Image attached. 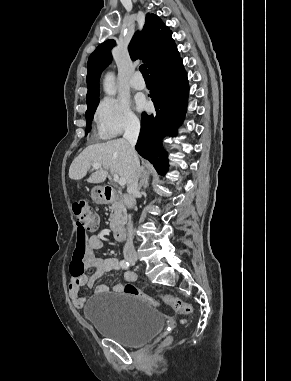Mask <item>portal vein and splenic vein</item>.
Masks as SVG:
<instances>
[{
  "instance_id": "obj_1",
  "label": "portal vein and splenic vein",
  "mask_w": 291,
  "mask_h": 381,
  "mask_svg": "<svg viewBox=\"0 0 291 381\" xmlns=\"http://www.w3.org/2000/svg\"><path fill=\"white\" fill-rule=\"evenodd\" d=\"M101 167V164L99 163H94L93 168L94 169H99ZM114 181L117 182L120 186L125 185V179L119 178L117 173H113Z\"/></svg>"
}]
</instances>
